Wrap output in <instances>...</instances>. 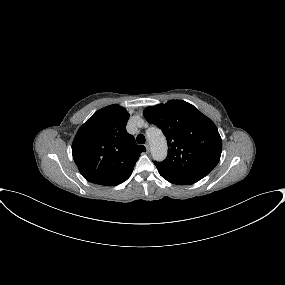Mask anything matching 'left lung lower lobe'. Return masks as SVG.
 Wrapping results in <instances>:
<instances>
[{
  "label": "left lung lower lobe",
  "instance_id": "0a47b994",
  "mask_svg": "<svg viewBox=\"0 0 285 285\" xmlns=\"http://www.w3.org/2000/svg\"><path fill=\"white\" fill-rule=\"evenodd\" d=\"M164 179H166L168 182L177 184V185H189L194 184L198 179L188 178V177H175V176H169V175H161Z\"/></svg>",
  "mask_w": 285,
  "mask_h": 285
}]
</instances>
